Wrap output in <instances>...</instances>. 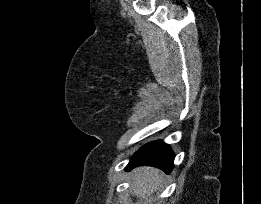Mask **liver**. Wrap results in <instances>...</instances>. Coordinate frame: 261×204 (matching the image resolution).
I'll use <instances>...</instances> for the list:
<instances>
[{
	"instance_id": "1",
	"label": "liver",
	"mask_w": 261,
	"mask_h": 204,
	"mask_svg": "<svg viewBox=\"0 0 261 204\" xmlns=\"http://www.w3.org/2000/svg\"><path fill=\"white\" fill-rule=\"evenodd\" d=\"M163 175L153 167H138L133 170L132 189L137 197L150 196L162 187Z\"/></svg>"
}]
</instances>
